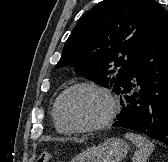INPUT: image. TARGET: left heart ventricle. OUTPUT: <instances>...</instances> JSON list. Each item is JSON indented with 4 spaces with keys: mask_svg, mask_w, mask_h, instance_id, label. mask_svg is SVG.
<instances>
[{
    "mask_svg": "<svg viewBox=\"0 0 168 162\" xmlns=\"http://www.w3.org/2000/svg\"><path fill=\"white\" fill-rule=\"evenodd\" d=\"M108 101L90 89H77L61 102V115L71 125H91L101 121L108 112Z\"/></svg>",
    "mask_w": 168,
    "mask_h": 162,
    "instance_id": "b2bd125f",
    "label": "left heart ventricle"
}]
</instances>
